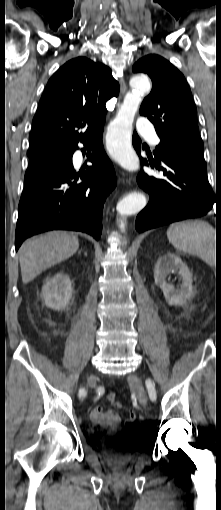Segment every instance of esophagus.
<instances>
[{"label": "esophagus", "mask_w": 221, "mask_h": 510, "mask_svg": "<svg viewBox=\"0 0 221 510\" xmlns=\"http://www.w3.org/2000/svg\"><path fill=\"white\" fill-rule=\"evenodd\" d=\"M126 89H127V87H126V84H125L124 80H121V82H120V94H121V97L125 94Z\"/></svg>", "instance_id": "esophagus-1"}]
</instances>
